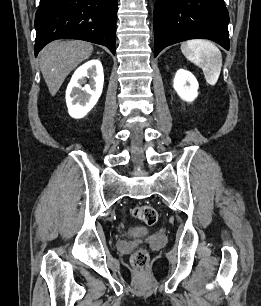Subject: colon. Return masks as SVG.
<instances>
[{"label":"colon","instance_id":"obj_1","mask_svg":"<svg viewBox=\"0 0 261 306\" xmlns=\"http://www.w3.org/2000/svg\"><path fill=\"white\" fill-rule=\"evenodd\" d=\"M132 215L148 226L154 225L158 220V213L150 205H139L132 210ZM147 252L144 249H138L132 256L133 263L138 267H144L147 262Z\"/></svg>","mask_w":261,"mask_h":306}]
</instances>
